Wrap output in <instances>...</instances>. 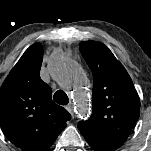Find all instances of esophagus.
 Segmentation results:
<instances>
[{"instance_id":"esophagus-1","label":"esophagus","mask_w":151,"mask_h":151,"mask_svg":"<svg viewBox=\"0 0 151 151\" xmlns=\"http://www.w3.org/2000/svg\"><path fill=\"white\" fill-rule=\"evenodd\" d=\"M66 109L68 110V112H69L71 115H73V105H72V104H68V105L66 106Z\"/></svg>"}]
</instances>
